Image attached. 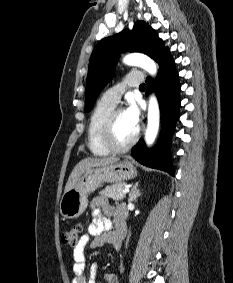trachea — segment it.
<instances>
[{"label":"trachea","instance_id":"1","mask_svg":"<svg viewBox=\"0 0 233 283\" xmlns=\"http://www.w3.org/2000/svg\"><path fill=\"white\" fill-rule=\"evenodd\" d=\"M139 88H140V89H145L146 86H145V84H141V85L139 86Z\"/></svg>","mask_w":233,"mask_h":283}]
</instances>
